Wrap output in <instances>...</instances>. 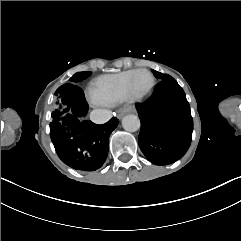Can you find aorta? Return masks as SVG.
Returning <instances> with one entry per match:
<instances>
[{"mask_svg": "<svg viewBox=\"0 0 241 241\" xmlns=\"http://www.w3.org/2000/svg\"><path fill=\"white\" fill-rule=\"evenodd\" d=\"M122 126H123L124 130H126L128 132L138 131L141 126L140 119L136 115H132V114L126 115L122 119Z\"/></svg>", "mask_w": 241, "mask_h": 241, "instance_id": "1", "label": "aorta"}]
</instances>
